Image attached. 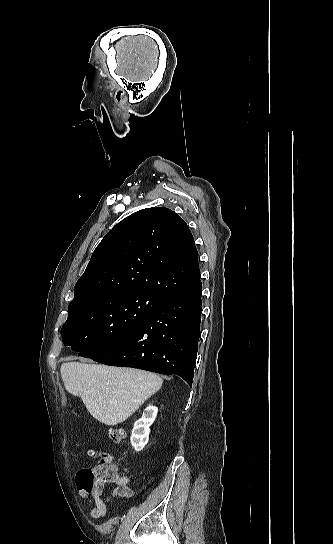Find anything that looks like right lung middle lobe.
<instances>
[{"instance_id":"dd1d6c3e","label":"right lung middle lobe","mask_w":333,"mask_h":544,"mask_svg":"<svg viewBox=\"0 0 333 544\" xmlns=\"http://www.w3.org/2000/svg\"><path fill=\"white\" fill-rule=\"evenodd\" d=\"M163 301L164 298L157 295L133 292L72 302L61 329L63 343L83 356L94 347L136 328Z\"/></svg>"}]
</instances>
